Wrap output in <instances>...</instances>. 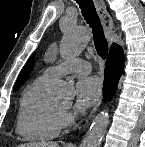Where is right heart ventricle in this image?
I'll use <instances>...</instances> for the list:
<instances>
[{
  "label": "right heart ventricle",
  "instance_id": "obj_1",
  "mask_svg": "<svg viewBox=\"0 0 145 147\" xmlns=\"http://www.w3.org/2000/svg\"><path fill=\"white\" fill-rule=\"evenodd\" d=\"M52 79L44 74L25 89L19 104L16 132L28 140H48L60 131L61 110L48 99Z\"/></svg>",
  "mask_w": 145,
  "mask_h": 147
}]
</instances>
